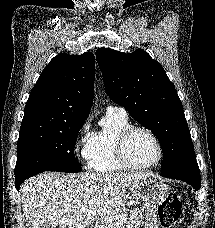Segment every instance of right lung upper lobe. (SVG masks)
<instances>
[{
	"label": "right lung upper lobe",
	"instance_id": "1",
	"mask_svg": "<svg viewBox=\"0 0 215 228\" xmlns=\"http://www.w3.org/2000/svg\"><path fill=\"white\" fill-rule=\"evenodd\" d=\"M94 55L59 54L43 69L25 106L21 129L85 122L94 96Z\"/></svg>",
	"mask_w": 215,
	"mask_h": 228
}]
</instances>
